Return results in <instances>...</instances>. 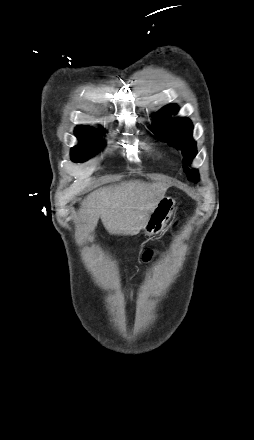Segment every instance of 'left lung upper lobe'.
<instances>
[{
	"mask_svg": "<svg viewBox=\"0 0 254 440\" xmlns=\"http://www.w3.org/2000/svg\"><path fill=\"white\" fill-rule=\"evenodd\" d=\"M178 111V107L175 104H170L163 107L157 116L162 119H168L171 114ZM193 125L187 118H178L172 120H164L156 124L154 127L155 135L161 140L167 142L169 145L180 148L183 155V163L185 172L188 175V179L192 181L198 180V172L196 170H190L186 167L191 163L192 159L196 156V142L192 139Z\"/></svg>",
	"mask_w": 254,
	"mask_h": 440,
	"instance_id": "5c2ea615",
	"label": "left lung upper lobe"
}]
</instances>
